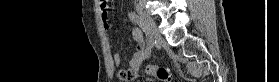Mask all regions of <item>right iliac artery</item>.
<instances>
[{
    "label": "right iliac artery",
    "mask_w": 279,
    "mask_h": 82,
    "mask_svg": "<svg viewBox=\"0 0 279 82\" xmlns=\"http://www.w3.org/2000/svg\"><path fill=\"white\" fill-rule=\"evenodd\" d=\"M128 16L132 21H134L141 28L140 35H141L142 39H144L147 42V47L145 49V58H148L151 54V46L148 42L144 22H143L142 18L139 17L136 13L130 12L128 14Z\"/></svg>",
    "instance_id": "obj_1"
}]
</instances>
